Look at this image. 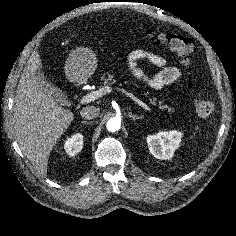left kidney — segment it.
Here are the masks:
<instances>
[{"instance_id":"1","label":"left kidney","mask_w":236,"mask_h":236,"mask_svg":"<svg viewBox=\"0 0 236 236\" xmlns=\"http://www.w3.org/2000/svg\"><path fill=\"white\" fill-rule=\"evenodd\" d=\"M181 138L182 133L176 130L161 131L156 135H148L147 144L149 151L157 159L169 160L179 147Z\"/></svg>"}]
</instances>
